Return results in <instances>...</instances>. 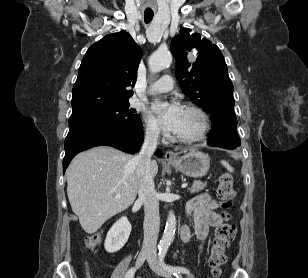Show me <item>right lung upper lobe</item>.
Here are the masks:
<instances>
[{
  "instance_id": "obj_1",
  "label": "right lung upper lobe",
  "mask_w": 308,
  "mask_h": 278,
  "mask_svg": "<svg viewBox=\"0 0 308 278\" xmlns=\"http://www.w3.org/2000/svg\"><path fill=\"white\" fill-rule=\"evenodd\" d=\"M141 48L126 31L113 33L89 47L72 90V114L128 102L136 82Z\"/></svg>"
}]
</instances>
